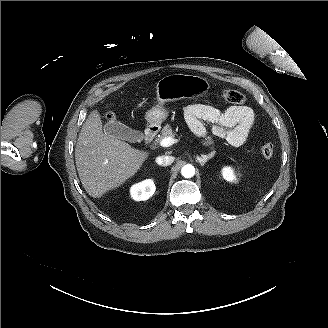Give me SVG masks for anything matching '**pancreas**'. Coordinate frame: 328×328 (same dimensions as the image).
<instances>
[{
  "instance_id": "obj_1",
  "label": "pancreas",
  "mask_w": 328,
  "mask_h": 328,
  "mask_svg": "<svg viewBox=\"0 0 328 328\" xmlns=\"http://www.w3.org/2000/svg\"><path fill=\"white\" fill-rule=\"evenodd\" d=\"M167 137H171V138L175 137V132L172 130V126L170 124H166L164 126V128L162 129V135L158 138V141ZM201 144L202 146L207 147L210 150H213L212 153L213 157L216 155V152L214 151L215 147L213 146L214 140L212 139V137L204 136L203 139H201Z\"/></svg>"
}]
</instances>
